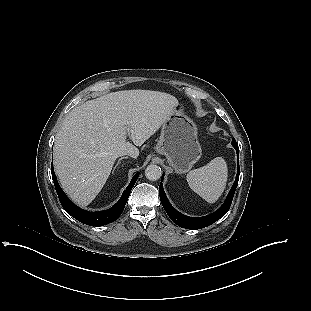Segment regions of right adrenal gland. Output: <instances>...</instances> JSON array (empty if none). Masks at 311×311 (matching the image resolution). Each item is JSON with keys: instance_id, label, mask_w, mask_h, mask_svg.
I'll return each instance as SVG.
<instances>
[{"instance_id": "2a0ac1e0", "label": "right adrenal gland", "mask_w": 311, "mask_h": 311, "mask_svg": "<svg viewBox=\"0 0 311 311\" xmlns=\"http://www.w3.org/2000/svg\"><path fill=\"white\" fill-rule=\"evenodd\" d=\"M125 158H127V157H121V158L118 160V162L116 163L115 167L113 168V172H114V170L116 169V167L121 163V160H122V159H125Z\"/></svg>"}]
</instances>
